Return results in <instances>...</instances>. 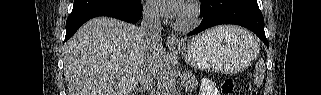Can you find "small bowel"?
<instances>
[{
    "instance_id": "small-bowel-1",
    "label": "small bowel",
    "mask_w": 321,
    "mask_h": 95,
    "mask_svg": "<svg viewBox=\"0 0 321 95\" xmlns=\"http://www.w3.org/2000/svg\"><path fill=\"white\" fill-rule=\"evenodd\" d=\"M213 94H216V91H214L209 87H204L202 95H213Z\"/></svg>"
}]
</instances>
